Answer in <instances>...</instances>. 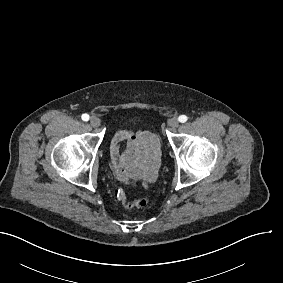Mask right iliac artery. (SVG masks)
Wrapping results in <instances>:
<instances>
[{
	"label": "right iliac artery",
	"mask_w": 283,
	"mask_h": 283,
	"mask_svg": "<svg viewBox=\"0 0 283 283\" xmlns=\"http://www.w3.org/2000/svg\"><path fill=\"white\" fill-rule=\"evenodd\" d=\"M82 120L83 121H88L89 120V115L88 114H83L82 115Z\"/></svg>",
	"instance_id": "1"
}]
</instances>
